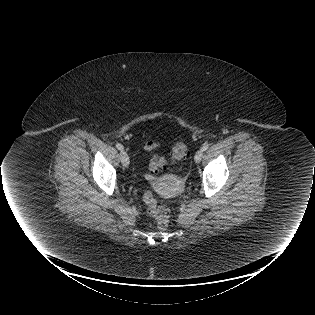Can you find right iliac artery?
Wrapping results in <instances>:
<instances>
[{"instance_id": "right-iliac-artery-1", "label": "right iliac artery", "mask_w": 315, "mask_h": 315, "mask_svg": "<svg viewBox=\"0 0 315 315\" xmlns=\"http://www.w3.org/2000/svg\"><path fill=\"white\" fill-rule=\"evenodd\" d=\"M116 147L119 149V150H121V151H123V149H124V147L121 145V144H116Z\"/></svg>"}]
</instances>
